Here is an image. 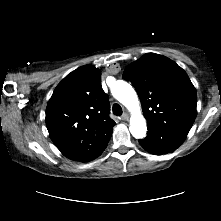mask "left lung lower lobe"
Segmentation results:
<instances>
[{
  "label": "left lung lower lobe",
  "instance_id": "1",
  "mask_svg": "<svg viewBox=\"0 0 221 221\" xmlns=\"http://www.w3.org/2000/svg\"><path fill=\"white\" fill-rule=\"evenodd\" d=\"M188 131L148 126V135L140 139L141 146L150 153L161 155L175 151L184 141Z\"/></svg>",
  "mask_w": 221,
  "mask_h": 221
}]
</instances>
